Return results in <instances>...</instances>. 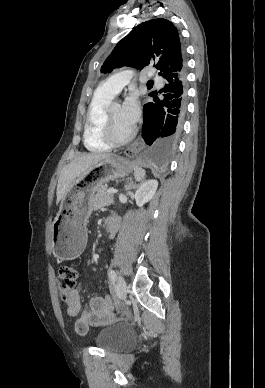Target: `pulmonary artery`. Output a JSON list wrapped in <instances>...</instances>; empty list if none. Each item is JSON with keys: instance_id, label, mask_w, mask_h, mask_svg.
Wrapping results in <instances>:
<instances>
[{"instance_id": "pulmonary-artery-1", "label": "pulmonary artery", "mask_w": 265, "mask_h": 388, "mask_svg": "<svg viewBox=\"0 0 265 388\" xmlns=\"http://www.w3.org/2000/svg\"><path fill=\"white\" fill-rule=\"evenodd\" d=\"M163 75H152L150 80L152 82H163ZM135 77L133 75H111L110 79H104L105 90H122L123 86H126L128 82H133Z\"/></svg>"}]
</instances>
